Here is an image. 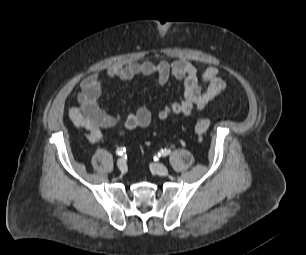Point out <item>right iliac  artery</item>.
I'll use <instances>...</instances> for the list:
<instances>
[{"mask_svg":"<svg viewBox=\"0 0 306 255\" xmlns=\"http://www.w3.org/2000/svg\"><path fill=\"white\" fill-rule=\"evenodd\" d=\"M125 151H126V148H125V147H119V148H117V150H116V154H117V155H122L123 153H125Z\"/></svg>","mask_w":306,"mask_h":255,"instance_id":"1","label":"right iliac artery"}]
</instances>
